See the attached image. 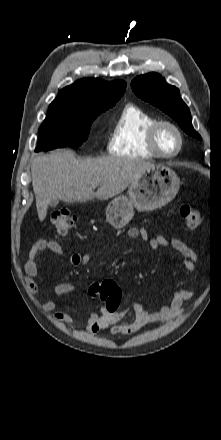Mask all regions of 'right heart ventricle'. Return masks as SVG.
Segmentation results:
<instances>
[{
  "label": "right heart ventricle",
  "mask_w": 221,
  "mask_h": 440,
  "mask_svg": "<svg viewBox=\"0 0 221 440\" xmlns=\"http://www.w3.org/2000/svg\"><path fill=\"white\" fill-rule=\"evenodd\" d=\"M156 118L139 106L128 103L121 110L108 140V151L126 158H153L147 133Z\"/></svg>",
  "instance_id": "obj_1"
}]
</instances>
